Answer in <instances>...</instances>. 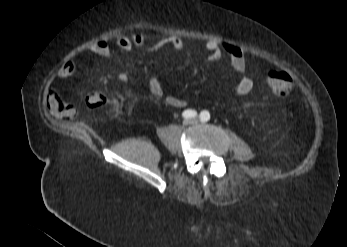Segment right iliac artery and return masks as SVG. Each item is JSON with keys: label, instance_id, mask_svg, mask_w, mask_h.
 <instances>
[{"label": "right iliac artery", "instance_id": "obj_1", "mask_svg": "<svg viewBox=\"0 0 347 247\" xmlns=\"http://www.w3.org/2000/svg\"><path fill=\"white\" fill-rule=\"evenodd\" d=\"M183 118H194L197 116V112L191 109H187L182 113Z\"/></svg>", "mask_w": 347, "mask_h": 247}]
</instances>
